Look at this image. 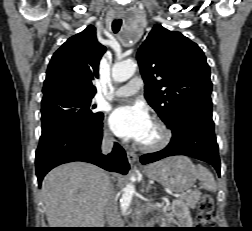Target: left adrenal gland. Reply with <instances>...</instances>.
<instances>
[{
  "instance_id": "a2214340",
  "label": "left adrenal gland",
  "mask_w": 252,
  "mask_h": 231,
  "mask_svg": "<svg viewBox=\"0 0 252 231\" xmlns=\"http://www.w3.org/2000/svg\"><path fill=\"white\" fill-rule=\"evenodd\" d=\"M153 187L151 186V184L149 183L146 187V193L149 192V190H151Z\"/></svg>"
}]
</instances>
